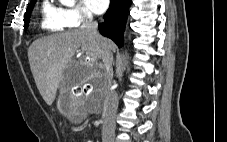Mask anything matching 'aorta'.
Listing matches in <instances>:
<instances>
[{"label":"aorta","mask_w":227,"mask_h":142,"mask_svg":"<svg viewBox=\"0 0 227 142\" xmlns=\"http://www.w3.org/2000/svg\"><path fill=\"white\" fill-rule=\"evenodd\" d=\"M62 2H64L65 4H67V5H74V3H75V0H62Z\"/></svg>","instance_id":"aorta-1"}]
</instances>
